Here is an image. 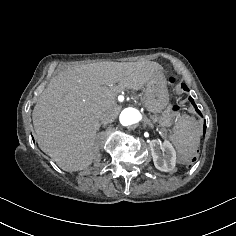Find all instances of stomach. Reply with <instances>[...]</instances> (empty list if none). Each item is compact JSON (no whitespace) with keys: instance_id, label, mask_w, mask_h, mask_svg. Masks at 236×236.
<instances>
[{"instance_id":"0dacf381","label":"stomach","mask_w":236,"mask_h":236,"mask_svg":"<svg viewBox=\"0 0 236 236\" xmlns=\"http://www.w3.org/2000/svg\"><path fill=\"white\" fill-rule=\"evenodd\" d=\"M170 94L164 77L155 78L146 85L143 95V105L151 113H160L167 107Z\"/></svg>"}]
</instances>
